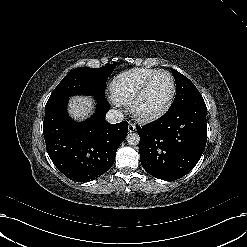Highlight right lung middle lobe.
Segmentation results:
<instances>
[{
	"mask_svg": "<svg viewBox=\"0 0 247 247\" xmlns=\"http://www.w3.org/2000/svg\"><path fill=\"white\" fill-rule=\"evenodd\" d=\"M116 63L101 68L80 67L72 70L57 85L48 102L69 98L73 95L105 96V85L108 77L116 67Z\"/></svg>",
	"mask_w": 247,
	"mask_h": 247,
	"instance_id": "right-lung-middle-lobe-1",
	"label": "right lung middle lobe"
}]
</instances>
